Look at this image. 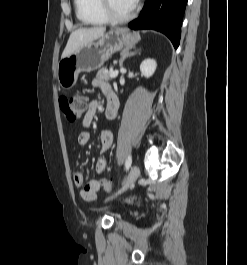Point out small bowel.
Masks as SVG:
<instances>
[{
    "label": "small bowel",
    "mask_w": 247,
    "mask_h": 265,
    "mask_svg": "<svg viewBox=\"0 0 247 265\" xmlns=\"http://www.w3.org/2000/svg\"><path fill=\"white\" fill-rule=\"evenodd\" d=\"M93 85L100 89L104 95L106 96L107 99V107L105 110V116L109 120H113L117 116L118 112V99L115 96L114 92L112 91L111 87L104 83L101 80L95 79L93 80ZM99 108V103L96 100H93L89 108L83 118L82 124L84 127H89L97 113V110ZM90 141V133L88 131H82L78 135V143L81 146H85L89 143ZM113 142V134L109 130H103L100 133V152L103 153L107 151ZM106 160H101L98 163V172L102 173L105 170L106 167ZM73 182L77 187H82L83 189L81 190V197L85 201H93L96 199L97 193L101 190V185L98 180L91 179L87 183H85L84 180V175L77 171L73 174Z\"/></svg>",
    "instance_id": "obj_1"
}]
</instances>
